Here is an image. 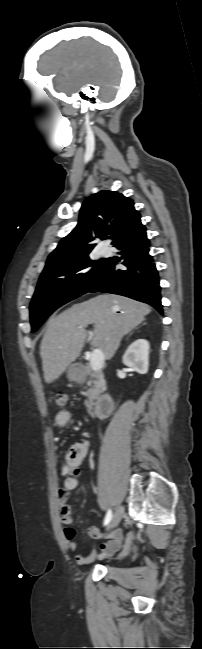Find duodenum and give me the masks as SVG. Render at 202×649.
Instances as JSON below:
<instances>
[{
    "instance_id": "1",
    "label": "duodenum",
    "mask_w": 202,
    "mask_h": 649,
    "mask_svg": "<svg viewBox=\"0 0 202 649\" xmlns=\"http://www.w3.org/2000/svg\"><path fill=\"white\" fill-rule=\"evenodd\" d=\"M112 411H113L112 398L108 395L100 396L95 403V408H94L95 415L100 418H106L112 413Z\"/></svg>"
}]
</instances>
